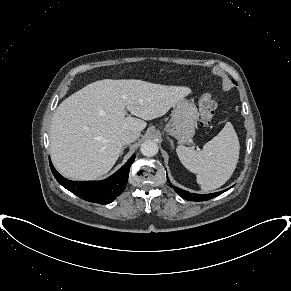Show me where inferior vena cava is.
Returning a JSON list of instances; mask_svg holds the SVG:
<instances>
[{
  "mask_svg": "<svg viewBox=\"0 0 291 291\" xmlns=\"http://www.w3.org/2000/svg\"><path fill=\"white\" fill-rule=\"evenodd\" d=\"M139 136L140 132L138 131H126L121 135V142L126 145L137 140Z\"/></svg>",
  "mask_w": 291,
  "mask_h": 291,
  "instance_id": "602c4592",
  "label": "inferior vena cava"
}]
</instances>
